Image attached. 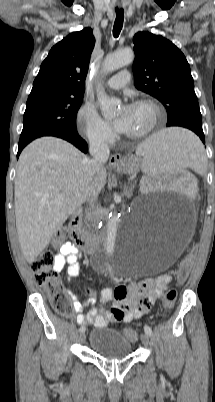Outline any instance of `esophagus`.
Returning <instances> with one entry per match:
<instances>
[{"label": "esophagus", "instance_id": "esophagus-1", "mask_svg": "<svg viewBox=\"0 0 215 402\" xmlns=\"http://www.w3.org/2000/svg\"><path fill=\"white\" fill-rule=\"evenodd\" d=\"M123 164V159L120 154H113L109 159V165L112 168L120 167Z\"/></svg>", "mask_w": 215, "mask_h": 402}]
</instances>
